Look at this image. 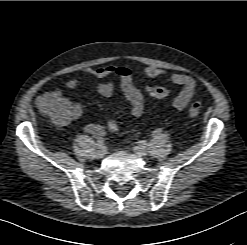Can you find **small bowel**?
<instances>
[{
    "label": "small bowel",
    "mask_w": 247,
    "mask_h": 245,
    "mask_svg": "<svg viewBox=\"0 0 247 245\" xmlns=\"http://www.w3.org/2000/svg\"><path fill=\"white\" fill-rule=\"evenodd\" d=\"M135 73L142 74L148 78H159L169 76L170 80L177 85L181 86L180 92L173 99V106L176 109L185 108L190 100L192 99L195 92V81L194 79L184 73H173L169 74V71L164 68H159L155 66H146L138 69ZM82 75H88L98 81L94 82V90L103 97H110L113 95L117 85H119L123 95L129 102L131 106L130 113L133 117L137 118L143 114L145 100L141 89L136 85L134 81V72L125 66L108 65L101 66L97 68H85L81 71ZM82 75H78L68 79L65 86L68 89H74L79 86L82 80ZM109 76H115L117 80H109L106 82L100 81ZM49 94H56L58 96L64 97L60 90H55L43 94L38 98L37 103L40 104L41 100ZM65 98V97H64ZM70 104V118L68 120L78 119L82 113L83 109L79 103L72 102L68 98ZM84 131L88 134L94 136H104L105 129L99 124H87L84 126Z\"/></svg>",
    "instance_id": "1"
}]
</instances>
